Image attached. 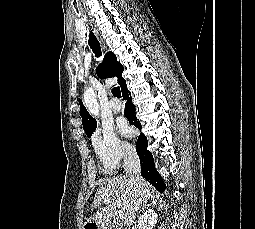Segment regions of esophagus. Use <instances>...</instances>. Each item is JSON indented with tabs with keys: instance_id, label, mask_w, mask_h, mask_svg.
Segmentation results:
<instances>
[{
	"instance_id": "obj_1",
	"label": "esophagus",
	"mask_w": 255,
	"mask_h": 229,
	"mask_svg": "<svg viewBox=\"0 0 255 229\" xmlns=\"http://www.w3.org/2000/svg\"><path fill=\"white\" fill-rule=\"evenodd\" d=\"M103 46V49H105V44L104 45H102Z\"/></svg>"
}]
</instances>
